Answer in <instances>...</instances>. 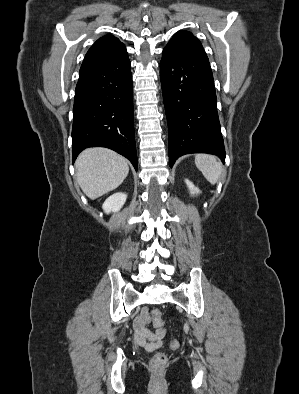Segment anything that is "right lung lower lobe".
<instances>
[{"label":"right lung lower lobe","mask_w":299,"mask_h":394,"mask_svg":"<svg viewBox=\"0 0 299 394\" xmlns=\"http://www.w3.org/2000/svg\"><path fill=\"white\" fill-rule=\"evenodd\" d=\"M73 115V162L83 149L103 146L125 156L137 170L128 57L81 66Z\"/></svg>","instance_id":"obj_1"}]
</instances>
